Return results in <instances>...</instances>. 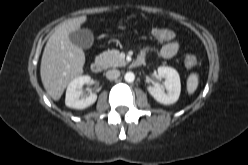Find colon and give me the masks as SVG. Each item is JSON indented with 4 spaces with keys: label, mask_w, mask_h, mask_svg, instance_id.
Instances as JSON below:
<instances>
[{
    "label": "colon",
    "mask_w": 248,
    "mask_h": 165,
    "mask_svg": "<svg viewBox=\"0 0 248 165\" xmlns=\"http://www.w3.org/2000/svg\"><path fill=\"white\" fill-rule=\"evenodd\" d=\"M152 35L155 39L159 41H167L175 38V33L173 31L162 28L154 29L152 31ZM184 64L186 68L192 69L198 65V60L194 55L188 54L184 59Z\"/></svg>",
    "instance_id": "obj_1"
}]
</instances>
